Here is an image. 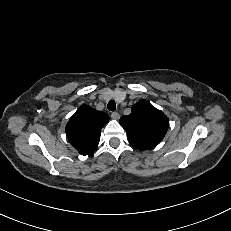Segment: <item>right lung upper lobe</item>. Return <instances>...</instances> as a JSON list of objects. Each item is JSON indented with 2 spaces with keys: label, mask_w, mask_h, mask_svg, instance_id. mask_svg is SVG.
<instances>
[{
  "label": "right lung upper lobe",
  "mask_w": 231,
  "mask_h": 231,
  "mask_svg": "<svg viewBox=\"0 0 231 231\" xmlns=\"http://www.w3.org/2000/svg\"><path fill=\"white\" fill-rule=\"evenodd\" d=\"M109 117L88 105H82L66 125V134L74 148L82 155L93 152L100 141L101 129Z\"/></svg>",
  "instance_id": "cb5924a9"
}]
</instances>
